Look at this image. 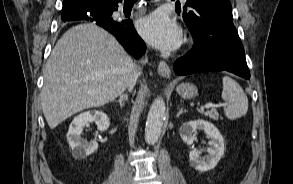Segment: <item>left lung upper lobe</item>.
<instances>
[{"label": "left lung upper lobe", "instance_id": "1", "mask_svg": "<svg viewBox=\"0 0 293 184\" xmlns=\"http://www.w3.org/2000/svg\"><path fill=\"white\" fill-rule=\"evenodd\" d=\"M186 6L183 19L189 29H221L223 22H233L230 0H187ZM176 8L179 13L182 11L180 4Z\"/></svg>", "mask_w": 293, "mask_h": 184}]
</instances>
